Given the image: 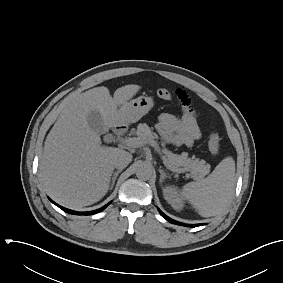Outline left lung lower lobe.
Instances as JSON below:
<instances>
[{
    "mask_svg": "<svg viewBox=\"0 0 283 283\" xmlns=\"http://www.w3.org/2000/svg\"><path fill=\"white\" fill-rule=\"evenodd\" d=\"M158 211L160 212V214L166 219L168 220L169 222L173 223V224H177V225H182V226H188V227H195V226H200L201 224L199 225H191V224H184V223H180V222H177L171 218H169L168 216H166L161 210L158 209Z\"/></svg>",
    "mask_w": 283,
    "mask_h": 283,
    "instance_id": "1",
    "label": "left lung lower lobe"
}]
</instances>
